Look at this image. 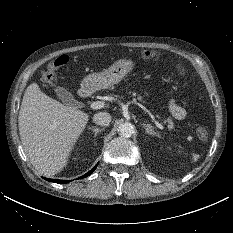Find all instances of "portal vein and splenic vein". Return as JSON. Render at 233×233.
<instances>
[{
	"instance_id": "18ae733b",
	"label": "portal vein and splenic vein",
	"mask_w": 233,
	"mask_h": 233,
	"mask_svg": "<svg viewBox=\"0 0 233 233\" xmlns=\"http://www.w3.org/2000/svg\"><path fill=\"white\" fill-rule=\"evenodd\" d=\"M90 107L92 109H101V108H104L105 107V103L104 102H101V101H95V102H92ZM156 126L160 129H164V126L161 125L160 123L156 122Z\"/></svg>"
}]
</instances>
